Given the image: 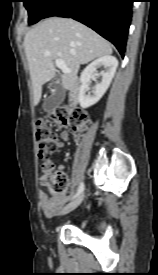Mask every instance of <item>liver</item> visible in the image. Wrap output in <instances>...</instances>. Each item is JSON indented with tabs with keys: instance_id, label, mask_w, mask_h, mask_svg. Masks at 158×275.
Returning a JSON list of instances; mask_svg holds the SVG:
<instances>
[{
	"instance_id": "6515ba94",
	"label": "liver",
	"mask_w": 158,
	"mask_h": 275,
	"mask_svg": "<svg viewBox=\"0 0 158 275\" xmlns=\"http://www.w3.org/2000/svg\"><path fill=\"white\" fill-rule=\"evenodd\" d=\"M33 85V103L38 105L42 86L56 74L54 61L62 59L70 72H63L62 85L72 89L80 65L111 55V45L95 31L73 19L50 17L38 23L24 38Z\"/></svg>"
}]
</instances>
